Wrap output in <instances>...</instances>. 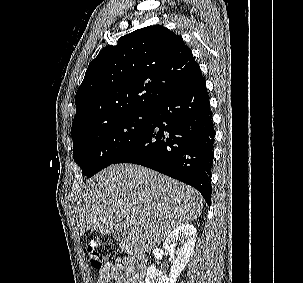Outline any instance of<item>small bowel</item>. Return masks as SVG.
<instances>
[{"label": "small bowel", "mask_w": 303, "mask_h": 283, "mask_svg": "<svg viewBox=\"0 0 303 283\" xmlns=\"http://www.w3.org/2000/svg\"><path fill=\"white\" fill-rule=\"evenodd\" d=\"M96 283H144V274L139 271L134 258L118 257L98 274Z\"/></svg>", "instance_id": "1"}]
</instances>
